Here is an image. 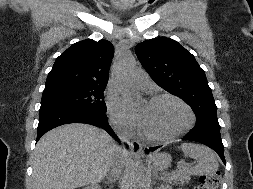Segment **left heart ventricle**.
<instances>
[{
	"instance_id": "left-heart-ventricle-1",
	"label": "left heart ventricle",
	"mask_w": 253,
	"mask_h": 189,
	"mask_svg": "<svg viewBox=\"0 0 253 189\" xmlns=\"http://www.w3.org/2000/svg\"><path fill=\"white\" fill-rule=\"evenodd\" d=\"M142 110L145 111L142 129L156 136L169 135L181 128L187 121L186 111L170 100L147 103Z\"/></svg>"
}]
</instances>
